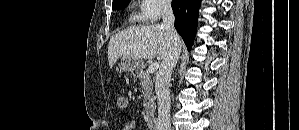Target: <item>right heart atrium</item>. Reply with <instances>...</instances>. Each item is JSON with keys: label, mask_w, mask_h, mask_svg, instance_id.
<instances>
[{"label": "right heart atrium", "mask_w": 299, "mask_h": 130, "mask_svg": "<svg viewBox=\"0 0 299 130\" xmlns=\"http://www.w3.org/2000/svg\"><path fill=\"white\" fill-rule=\"evenodd\" d=\"M169 7L170 2L168 0H143L142 19L145 22H155Z\"/></svg>", "instance_id": "right-heart-atrium-1"}]
</instances>
